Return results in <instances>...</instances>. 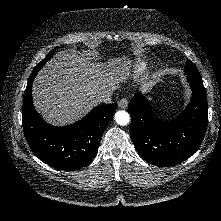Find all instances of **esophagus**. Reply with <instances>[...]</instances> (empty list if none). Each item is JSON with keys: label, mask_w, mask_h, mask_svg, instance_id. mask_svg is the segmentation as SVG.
<instances>
[{"label": "esophagus", "mask_w": 221, "mask_h": 221, "mask_svg": "<svg viewBox=\"0 0 221 221\" xmlns=\"http://www.w3.org/2000/svg\"><path fill=\"white\" fill-rule=\"evenodd\" d=\"M118 106L122 109H126L128 106V100L126 98H122L118 102Z\"/></svg>", "instance_id": "obj_1"}]
</instances>
